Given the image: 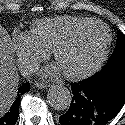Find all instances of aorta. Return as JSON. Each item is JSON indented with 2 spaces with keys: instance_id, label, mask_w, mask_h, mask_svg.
I'll return each instance as SVG.
<instances>
[{
  "instance_id": "aorta-1",
  "label": "aorta",
  "mask_w": 125,
  "mask_h": 125,
  "mask_svg": "<svg viewBox=\"0 0 125 125\" xmlns=\"http://www.w3.org/2000/svg\"><path fill=\"white\" fill-rule=\"evenodd\" d=\"M47 100L55 110H66L72 102L71 91L62 85L53 86L47 94Z\"/></svg>"
}]
</instances>
